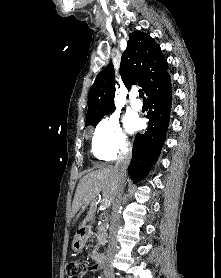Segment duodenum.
I'll return each instance as SVG.
<instances>
[{"instance_id": "obj_1", "label": "duodenum", "mask_w": 221, "mask_h": 278, "mask_svg": "<svg viewBox=\"0 0 221 278\" xmlns=\"http://www.w3.org/2000/svg\"><path fill=\"white\" fill-rule=\"evenodd\" d=\"M87 236V228H82L78 234V237L81 241H83ZM95 264L94 267L96 270H99L102 268L104 262H105V255L101 252H96L94 254Z\"/></svg>"}]
</instances>
